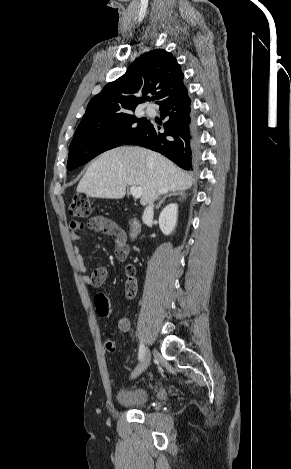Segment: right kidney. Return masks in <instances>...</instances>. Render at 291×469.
Instances as JSON below:
<instances>
[{
  "mask_svg": "<svg viewBox=\"0 0 291 469\" xmlns=\"http://www.w3.org/2000/svg\"><path fill=\"white\" fill-rule=\"evenodd\" d=\"M177 216H178V205L177 204H169L167 205L159 216V226L161 231L165 235H170L177 224Z\"/></svg>",
  "mask_w": 291,
  "mask_h": 469,
  "instance_id": "1",
  "label": "right kidney"
}]
</instances>
